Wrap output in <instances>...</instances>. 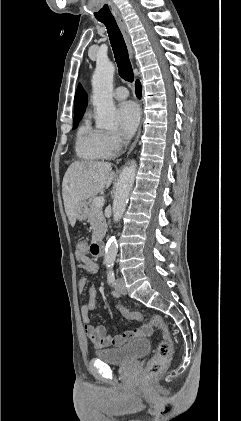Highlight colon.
<instances>
[{
    "mask_svg": "<svg viewBox=\"0 0 241 421\" xmlns=\"http://www.w3.org/2000/svg\"><path fill=\"white\" fill-rule=\"evenodd\" d=\"M76 252L80 255H88L92 253V245L86 240H79L76 244ZM117 309L127 319L143 320V316L138 312L130 311L124 307H117ZM149 324L159 329L162 333V340L159 342L155 354L150 358L146 366L147 377L153 378L166 369L173 353V343L168 325L162 316H152Z\"/></svg>",
    "mask_w": 241,
    "mask_h": 421,
    "instance_id": "colon-1",
    "label": "colon"
}]
</instances>
